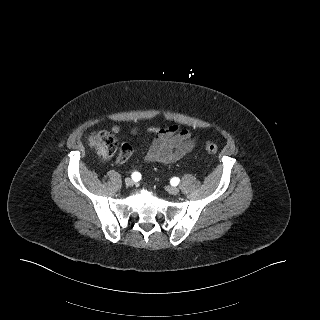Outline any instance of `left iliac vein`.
<instances>
[{
  "label": "left iliac vein",
  "instance_id": "obj_1",
  "mask_svg": "<svg viewBox=\"0 0 320 320\" xmlns=\"http://www.w3.org/2000/svg\"><path fill=\"white\" fill-rule=\"evenodd\" d=\"M167 191L171 195H177L180 192L178 187H167Z\"/></svg>",
  "mask_w": 320,
  "mask_h": 320
}]
</instances>
